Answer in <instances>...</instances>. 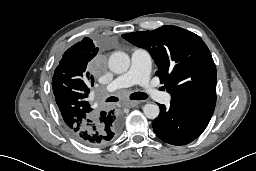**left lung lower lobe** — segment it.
<instances>
[{"mask_svg": "<svg viewBox=\"0 0 256 171\" xmlns=\"http://www.w3.org/2000/svg\"><path fill=\"white\" fill-rule=\"evenodd\" d=\"M159 106L160 114L152 126L161 140L172 145H185L199 137L212 116L175 101L168 108Z\"/></svg>", "mask_w": 256, "mask_h": 171, "instance_id": "left-lung-lower-lobe-1", "label": "left lung lower lobe"}]
</instances>
